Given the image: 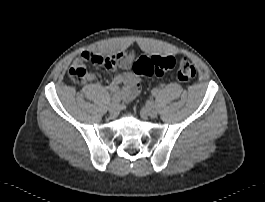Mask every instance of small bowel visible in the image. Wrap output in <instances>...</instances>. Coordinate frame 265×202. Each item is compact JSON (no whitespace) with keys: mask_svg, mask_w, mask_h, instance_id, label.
Returning <instances> with one entry per match:
<instances>
[{"mask_svg":"<svg viewBox=\"0 0 265 202\" xmlns=\"http://www.w3.org/2000/svg\"><path fill=\"white\" fill-rule=\"evenodd\" d=\"M102 66L115 74L107 90L119 96L124 102L134 99L141 91V82L131 70L132 56L129 52H118L114 55H104L93 51H83L75 60V65L85 64ZM85 81L95 80L93 73H86Z\"/></svg>","mask_w":265,"mask_h":202,"instance_id":"c3829d8e","label":"small bowel"}]
</instances>
